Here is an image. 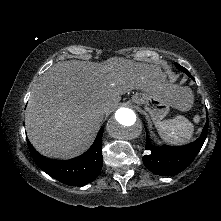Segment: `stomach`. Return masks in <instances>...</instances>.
I'll list each match as a JSON object with an SVG mask.
<instances>
[{
    "label": "stomach",
    "mask_w": 221,
    "mask_h": 221,
    "mask_svg": "<svg viewBox=\"0 0 221 221\" xmlns=\"http://www.w3.org/2000/svg\"><path fill=\"white\" fill-rule=\"evenodd\" d=\"M166 94L168 96L165 97L155 92H136L132 96V102L137 105H143L155 123L161 121L168 114L172 106L169 97L179 102L180 110L182 111L188 110L192 105V95L187 89L167 84Z\"/></svg>",
    "instance_id": "stomach-1"
}]
</instances>
